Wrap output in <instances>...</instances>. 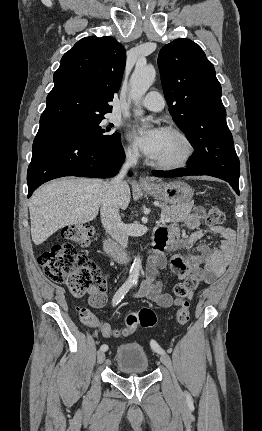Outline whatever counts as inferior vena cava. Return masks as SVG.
I'll return each mask as SVG.
<instances>
[{
	"label": "inferior vena cava",
	"mask_w": 262,
	"mask_h": 431,
	"mask_svg": "<svg viewBox=\"0 0 262 431\" xmlns=\"http://www.w3.org/2000/svg\"><path fill=\"white\" fill-rule=\"evenodd\" d=\"M137 160V152L131 150L126 152V161L118 175L105 184V195L100 209L101 222L105 230L123 249L128 245V232L119 215L120 195L127 186V183L124 181L127 170L129 167L135 165Z\"/></svg>",
	"instance_id": "obj_1"
}]
</instances>
